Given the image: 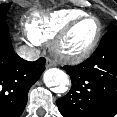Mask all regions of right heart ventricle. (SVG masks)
Masks as SVG:
<instances>
[{
  "label": "right heart ventricle",
  "mask_w": 117,
  "mask_h": 117,
  "mask_svg": "<svg viewBox=\"0 0 117 117\" xmlns=\"http://www.w3.org/2000/svg\"><path fill=\"white\" fill-rule=\"evenodd\" d=\"M86 13L79 9H64L48 15H35L26 24L27 36L33 43H44L59 34L71 21Z\"/></svg>",
  "instance_id": "1"
}]
</instances>
